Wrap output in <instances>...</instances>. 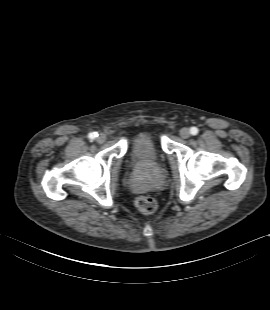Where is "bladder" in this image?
Returning <instances> with one entry per match:
<instances>
[{"mask_svg": "<svg viewBox=\"0 0 270 310\" xmlns=\"http://www.w3.org/2000/svg\"><path fill=\"white\" fill-rule=\"evenodd\" d=\"M129 157L135 162H157L161 150L154 135L149 132L137 134L129 144Z\"/></svg>", "mask_w": 270, "mask_h": 310, "instance_id": "1", "label": "bladder"}]
</instances>
